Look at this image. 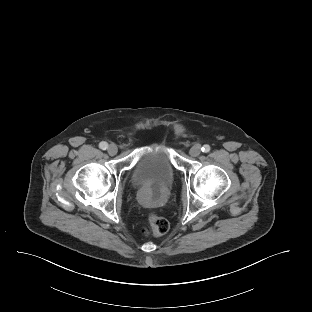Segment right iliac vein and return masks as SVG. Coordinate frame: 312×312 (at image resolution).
<instances>
[{"label": "right iliac vein", "instance_id": "obj_1", "mask_svg": "<svg viewBox=\"0 0 312 312\" xmlns=\"http://www.w3.org/2000/svg\"><path fill=\"white\" fill-rule=\"evenodd\" d=\"M107 151L110 155H115L118 151V148L115 144H111L109 145V147L107 148Z\"/></svg>", "mask_w": 312, "mask_h": 312}]
</instances>
